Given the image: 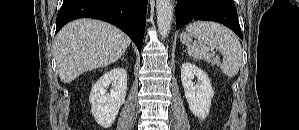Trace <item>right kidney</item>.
<instances>
[{"instance_id": "obj_1", "label": "right kidney", "mask_w": 299, "mask_h": 130, "mask_svg": "<svg viewBox=\"0 0 299 130\" xmlns=\"http://www.w3.org/2000/svg\"><path fill=\"white\" fill-rule=\"evenodd\" d=\"M112 86L110 94L106 90ZM127 93V74L124 68L116 67L103 74L93 85L89 101L95 121L104 128L115 121Z\"/></svg>"}]
</instances>
